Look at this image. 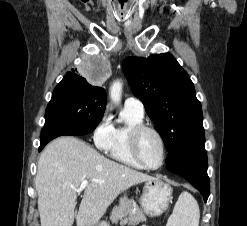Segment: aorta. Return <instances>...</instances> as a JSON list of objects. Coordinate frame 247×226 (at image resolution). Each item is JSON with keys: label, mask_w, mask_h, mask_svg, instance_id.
I'll return each instance as SVG.
<instances>
[{"label": "aorta", "mask_w": 247, "mask_h": 226, "mask_svg": "<svg viewBox=\"0 0 247 226\" xmlns=\"http://www.w3.org/2000/svg\"><path fill=\"white\" fill-rule=\"evenodd\" d=\"M122 96V82L116 80L110 87V98L115 103H120Z\"/></svg>", "instance_id": "aorta-1"}]
</instances>
